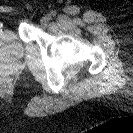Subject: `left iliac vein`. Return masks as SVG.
Here are the masks:
<instances>
[{
  "label": "left iliac vein",
  "instance_id": "4c4485c4",
  "mask_svg": "<svg viewBox=\"0 0 133 133\" xmlns=\"http://www.w3.org/2000/svg\"><path fill=\"white\" fill-rule=\"evenodd\" d=\"M51 19L50 15H46L44 17L41 18L40 23L45 26L47 25V23L49 22V20Z\"/></svg>",
  "mask_w": 133,
  "mask_h": 133
}]
</instances>
